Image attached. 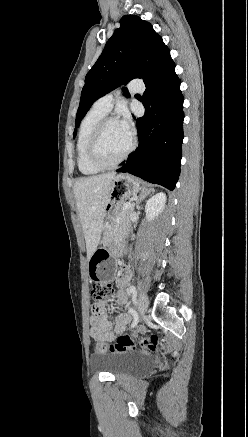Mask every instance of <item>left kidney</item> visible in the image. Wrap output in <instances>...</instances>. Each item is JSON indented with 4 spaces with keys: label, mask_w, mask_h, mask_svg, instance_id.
<instances>
[{
    "label": "left kidney",
    "mask_w": 248,
    "mask_h": 437,
    "mask_svg": "<svg viewBox=\"0 0 248 437\" xmlns=\"http://www.w3.org/2000/svg\"><path fill=\"white\" fill-rule=\"evenodd\" d=\"M166 203V195L163 192L152 196L146 203L145 213L148 221L156 218L164 209Z\"/></svg>",
    "instance_id": "5707ae66"
}]
</instances>
